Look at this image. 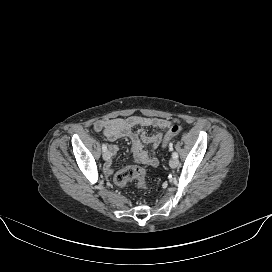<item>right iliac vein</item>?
Wrapping results in <instances>:
<instances>
[{"label": "right iliac vein", "mask_w": 272, "mask_h": 272, "mask_svg": "<svg viewBox=\"0 0 272 272\" xmlns=\"http://www.w3.org/2000/svg\"><path fill=\"white\" fill-rule=\"evenodd\" d=\"M103 159L106 160V161H108L110 159V152L109 151L106 150L103 153Z\"/></svg>", "instance_id": "obj_1"}]
</instances>
